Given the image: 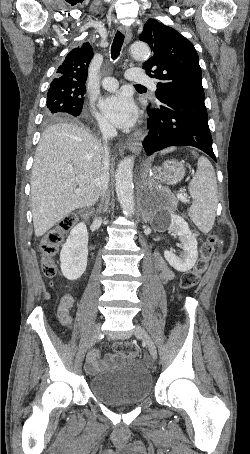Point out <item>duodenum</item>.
<instances>
[{"label":"duodenum","mask_w":250,"mask_h":454,"mask_svg":"<svg viewBox=\"0 0 250 454\" xmlns=\"http://www.w3.org/2000/svg\"><path fill=\"white\" fill-rule=\"evenodd\" d=\"M85 217H86V218H88V217H89V214H88V213H86V214H85Z\"/></svg>","instance_id":"duodenum-1"}]
</instances>
